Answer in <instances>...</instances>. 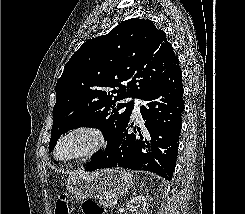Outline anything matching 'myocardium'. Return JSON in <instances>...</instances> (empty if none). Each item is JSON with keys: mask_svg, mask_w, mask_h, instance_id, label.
Segmentation results:
<instances>
[{"mask_svg": "<svg viewBox=\"0 0 245 214\" xmlns=\"http://www.w3.org/2000/svg\"><path fill=\"white\" fill-rule=\"evenodd\" d=\"M76 134H87L92 138V144L91 146L84 150L83 152L76 154L71 157L67 158H61L58 155V150L61 146V144L69 137L76 135ZM107 145V138L105 134L97 127L92 125H79L76 127H73L66 131L63 135L60 136V138L57 140L53 154L54 157L63 163H72V162H78L81 160L89 159L97 155L100 151H102Z\"/></svg>", "mask_w": 245, "mask_h": 214, "instance_id": "obj_1", "label": "myocardium"}]
</instances>
